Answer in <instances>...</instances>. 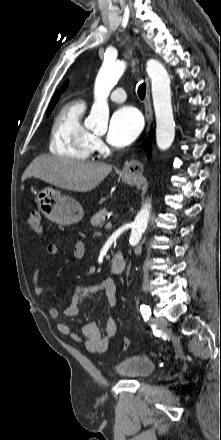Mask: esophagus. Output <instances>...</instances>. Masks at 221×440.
<instances>
[{
  "label": "esophagus",
  "mask_w": 221,
  "mask_h": 440,
  "mask_svg": "<svg viewBox=\"0 0 221 440\" xmlns=\"http://www.w3.org/2000/svg\"><path fill=\"white\" fill-rule=\"evenodd\" d=\"M135 44L138 47V49L142 50V47L140 46L138 41H136ZM144 107H145V119L147 122L146 131L148 132L153 120V110L150 99V84H149V79L147 77H146V96H145ZM143 170H144L143 164L137 159H132L125 163L122 172L128 176L139 177L142 175Z\"/></svg>",
  "instance_id": "1"
}]
</instances>
